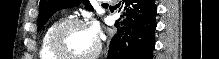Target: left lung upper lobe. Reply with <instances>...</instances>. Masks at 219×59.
I'll use <instances>...</instances> for the list:
<instances>
[{"instance_id":"5c2ea615","label":"left lung upper lobe","mask_w":219,"mask_h":59,"mask_svg":"<svg viewBox=\"0 0 219 59\" xmlns=\"http://www.w3.org/2000/svg\"><path fill=\"white\" fill-rule=\"evenodd\" d=\"M80 3H83L87 10H93L89 0H40L37 31L42 29V27L56 11L63 8L74 7Z\"/></svg>"}]
</instances>
